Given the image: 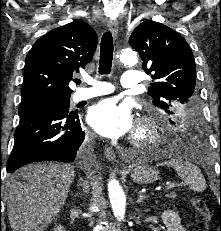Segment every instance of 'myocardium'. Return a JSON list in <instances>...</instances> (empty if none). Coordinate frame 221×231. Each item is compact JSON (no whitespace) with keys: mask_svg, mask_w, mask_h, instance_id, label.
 I'll return each instance as SVG.
<instances>
[{"mask_svg":"<svg viewBox=\"0 0 221 231\" xmlns=\"http://www.w3.org/2000/svg\"><path fill=\"white\" fill-rule=\"evenodd\" d=\"M160 139L158 122L154 117L143 116L136 124L130 136V143L136 147H147L156 144Z\"/></svg>","mask_w":221,"mask_h":231,"instance_id":"obj_1","label":"myocardium"}]
</instances>
